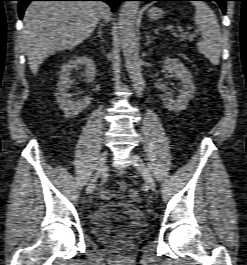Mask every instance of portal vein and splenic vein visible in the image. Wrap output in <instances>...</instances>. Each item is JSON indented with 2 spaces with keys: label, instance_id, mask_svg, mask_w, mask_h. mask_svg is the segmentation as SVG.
<instances>
[{
  "label": "portal vein and splenic vein",
  "instance_id": "18ae733b",
  "mask_svg": "<svg viewBox=\"0 0 247 265\" xmlns=\"http://www.w3.org/2000/svg\"><path fill=\"white\" fill-rule=\"evenodd\" d=\"M178 32H179V33H183L184 30L180 28V29L178 30ZM175 35H176V34H175Z\"/></svg>",
  "mask_w": 247,
  "mask_h": 265
}]
</instances>
